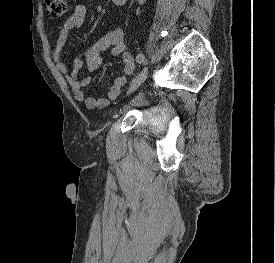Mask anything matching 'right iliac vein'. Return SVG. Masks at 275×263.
<instances>
[{
	"label": "right iliac vein",
	"instance_id": "63e3f726",
	"mask_svg": "<svg viewBox=\"0 0 275 263\" xmlns=\"http://www.w3.org/2000/svg\"><path fill=\"white\" fill-rule=\"evenodd\" d=\"M147 78V69H143L141 73L136 76L130 84V87L127 91V94H130L134 91L137 87H139Z\"/></svg>",
	"mask_w": 275,
	"mask_h": 263
}]
</instances>
